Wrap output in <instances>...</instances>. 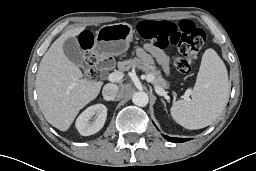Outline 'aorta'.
I'll list each match as a JSON object with an SVG mask.
<instances>
[{"instance_id":"aorta-1","label":"aorta","mask_w":256,"mask_h":171,"mask_svg":"<svg viewBox=\"0 0 256 171\" xmlns=\"http://www.w3.org/2000/svg\"><path fill=\"white\" fill-rule=\"evenodd\" d=\"M132 101L139 107H145L149 102V97L146 92L138 91L133 94Z\"/></svg>"}]
</instances>
